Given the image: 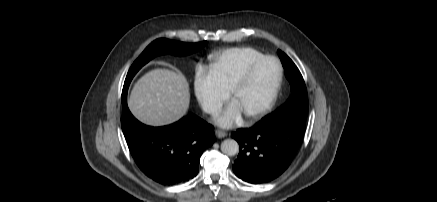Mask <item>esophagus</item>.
<instances>
[{"label":"esophagus","mask_w":437,"mask_h":202,"mask_svg":"<svg viewBox=\"0 0 437 202\" xmlns=\"http://www.w3.org/2000/svg\"><path fill=\"white\" fill-rule=\"evenodd\" d=\"M216 137L217 138H224L227 136V133L222 131V130H216L215 131Z\"/></svg>","instance_id":"34e87169"}]
</instances>
